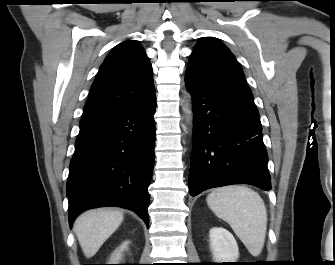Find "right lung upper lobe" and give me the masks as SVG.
<instances>
[{
  "label": "right lung upper lobe",
  "instance_id": "1",
  "mask_svg": "<svg viewBox=\"0 0 335 265\" xmlns=\"http://www.w3.org/2000/svg\"><path fill=\"white\" fill-rule=\"evenodd\" d=\"M154 97L152 67L141 45L126 40L102 63L83 116L126 109Z\"/></svg>",
  "mask_w": 335,
  "mask_h": 265
}]
</instances>
